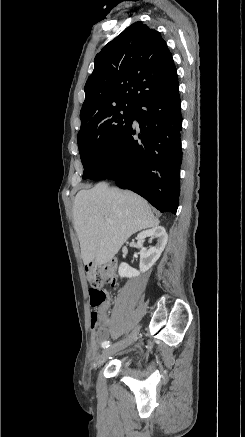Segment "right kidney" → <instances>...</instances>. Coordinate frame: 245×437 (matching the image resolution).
Returning a JSON list of instances; mask_svg holds the SVG:
<instances>
[{
    "label": "right kidney",
    "instance_id": "ca27d5eb",
    "mask_svg": "<svg viewBox=\"0 0 245 437\" xmlns=\"http://www.w3.org/2000/svg\"><path fill=\"white\" fill-rule=\"evenodd\" d=\"M147 237L157 238L156 245L150 247L149 249H146L142 246L145 238ZM136 239L137 244L140 248V270L138 271L130 267L127 263H121L118 269L120 277H137L140 275V273H144L149 270L159 259L161 253L163 252L167 244L168 235L163 227L156 226L154 228L140 232L137 235Z\"/></svg>",
    "mask_w": 245,
    "mask_h": 437
}]
</instances>
